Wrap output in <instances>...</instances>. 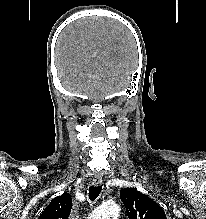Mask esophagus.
Wrapping results in <instances>:
<instances>
[{
  "mask_svg": "<svg viewBox=\"0 0 206 219\" xmlns=\"http://www.w3.org/2000/svg\"><path fill=\"white\" fill-rule=\"evenodd\" d=\"M102 182L103 180L101 175H95L92 179V185L94 186H100Z\"/></svg>",
  "mask_w": 206,
  "mask_h": 219,
  "instance_id": "34e87169",
  "label": "esophagus"
}]
</instances>
